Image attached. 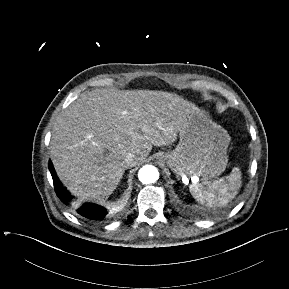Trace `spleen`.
<instances>
[{"instance_id":"3e777b00","label":"spleen","mask_w":289,"mask_h":289,"mask_svg":"<svg viewBox=\"0 0 289 289\" xmlns=\"http://www.w3.org/2000/svg\"><path fill=\"white\" fill-rule=\"evenodd\" d=\"M241 184L240 169L235 167L228 176L219 180H203L201 183H193L190 186V192L201 204H207L210 207L224 206L235 198Z\"/></svg>"}]
</instances>
